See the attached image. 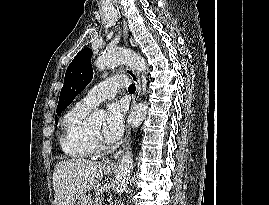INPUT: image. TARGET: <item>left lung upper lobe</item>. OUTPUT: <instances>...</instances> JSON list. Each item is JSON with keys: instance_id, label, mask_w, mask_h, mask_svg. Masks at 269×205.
<instances>
[{"instance_id": "1", "label": "left lung upper lobe", "mask_w": 269, "mask_h": 205, "mask_svg": "<svg viewBox=\"0 0 269 205\" xmlns=\"http://www.w3.org/2000/svg\"><path fill=\"white\" fill-rule=\"evenodd\" d=\"M92 50L86 48L81 50L68 66L65 74L64 85L61 89L56 114L60 113L74 100L92 80L93 71L91 67ZM57 120V116H55ZM57 123V121H56Z\"/></svg>"}]
</instances>
